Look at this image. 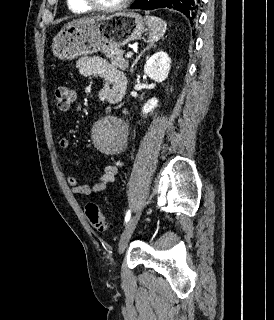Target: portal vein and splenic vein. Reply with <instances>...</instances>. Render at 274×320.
Segmentation results:
<instances>
[{
    "instance_id": "obj_1",
    "label": "portal vein and splenic vein",
    "mask_w": 274,
    "mask_h": 320,
    "mask_svg": "<svg viewBox=\"0 0 274 320\" xmlns=\"http://www.w3.org/2000/svg\"><path fill=\"white\" fill-rule=\"evenodd\" d=\"M133 54L132 52H127L125 58H132Z\"/></svg>"
}]
</instances>
